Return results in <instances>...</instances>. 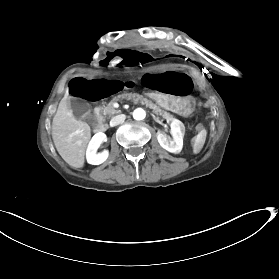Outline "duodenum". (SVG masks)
Segmentation results:
<instances>
[{
	"label": "duodenum",
	"mask_w": 279,
	"mask_h": 279,
	"mask_svg": "<svg viewBox=\"0 0 279 279\" xmlns=\"http://www.w3.org/2000/svg\"><path fill=\"white\" fill-rule=\"evenodd\" d=\"M145 96L147 98H150L152 96V93L150 91H147L145 93ZM95 108H98V105H95ZM96 112H98L97 119H98L99 124H98V126H95L93 128V131L95 133H99V132H102L105 128V119H104V114L101 111H99V109H96Z\"/></svg>",
	"instance_id": "410a0bca"
}]
</instances>
